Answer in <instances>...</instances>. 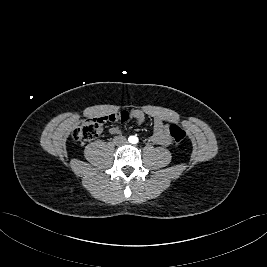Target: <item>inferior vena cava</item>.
<instances>
[{"instance_id":"602c4592","label":"inferior vena cava","mask_w":267,"mask_h":267,"mask_svg":"<svg viewBox=\"0 0 267 267\" xmlns=\"http://www.w3.org/2000/svg\"><path fill=\"white\" fill-rule=\"evenodd\" d=\"M117 140H118V143H119V144H122V143H125V142H126V138L123 137V136L118 137Z\"/></svg>"}]
</instances>
